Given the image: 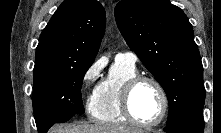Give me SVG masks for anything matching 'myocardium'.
Instances as JSON below:
<instances>
[{
  "label": "myocardium",
  "mask_w": 221,
  "mask_h": 133,
  "mask_svg": "<svg viewBox=\"0 0 221 133\" xmlns=\"http://www.w3.org/2000/svg\"><path fill=\"white\" fill-rule=\"evenodd\" d=\"M142 82L152 83L158 90L160 97H161V101H162V109H161L160 115L158 116L156 120L151 121V122H143L139 120L133 114L132 107H131V99H132L133 92L135 88ZM168 108H169V102H168L167 93L163 85L156 78L152 76H147V75H136L128 79L124 83L122 90H121V109H122L124 116L127 118V120L133 123L134 125H137L139 127H144V128L155 127L164 120V118L167 115Z\"/></svg>",
  "instance_id": "obj_1"
}]
</instances>
